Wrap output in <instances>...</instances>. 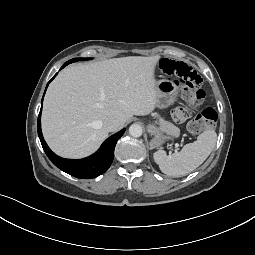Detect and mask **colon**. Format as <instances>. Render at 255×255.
<instances>
[{"instance_id": "5ec220e1", "label": "colon", "mask_w": 255, "mask_h": 255, "mask_svg": "<svg viewBox=\"0 0 255 255\" xmlns=\"http://www.w3.org/2000/svg\"><path fill=\"white\" fill-rule=\"evenodd\" d=\"M159 66L165 74L176 76L184 85V99L190 105H198L203 102L205 91L202 89V78L189 65L165 58L160 61ZM217 118V112L213 108H205L189 122V131L197 134L211 128L216 124Z\"/></svg>"}]
</instances>
